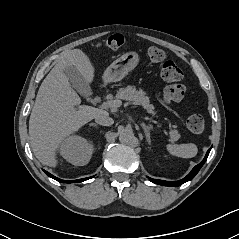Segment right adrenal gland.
I'll use <instances>...</instances> for the list:
<instances>
[{
	"label": "right adrenal gland",
	"mask_w": 239,
	"mask_h": 239,
	"mask_svg": "<svg viewBox=\"0 0 239 239\" xmlns=\"http://www.w3.org/2000/svg\"><path fill=\"white\" fill-rule=\"evenodd\" d=\"M89 125H90V127H91V126H92V127H96V128L98 127V125L95 124V123H90Z\"/></svg>",
	"instance_id": "right-adrenal-gland-1"
}]
</instances>
